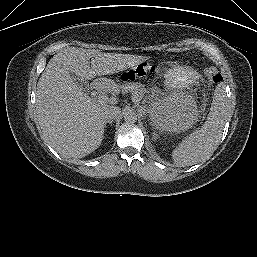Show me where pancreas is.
<instances>
[{
	"label": "pancreas",
	"instance_id": "cf45deb5",
	"mask_svg": "<svg viewBox=\"0 0 257 257\" xmlns=\"http://www.w3.org/2000/svg\"><path fill=\"white\" fill-rule=\"evenodd\" d=\"M122 90L123 91L130 90L132 92L133 99H135L137 101L142 100L144 97V94L146 93V89L143 86L138 85L136 83H130L127 85H123Z\"/></svg>",
	"mask_w": 257,
	"mask_h": 257
}]
</instances>
